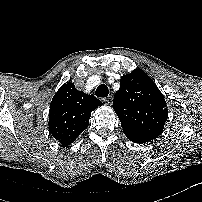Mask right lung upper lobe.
I'll use <instances>...</instances> for the list:
<instances>
[{
	"instance_id": "cb5924a9",
	"label": "right lung upper lobe",
	"mask_w": 202,
	"mask_h": 202,
	"mask_svg": "<svg viewBox=\"0 0 202 202\" xmlns=\"http://www.w3.org/2000/svg\"><path fill=\"white\" fill-rule=\"evenodd\" d=\"M101 101L78 91L73 83L62 85L50 104L49 130L62 145H69L89 124L91 112Z\"/></svg>"
}]
</instances>
